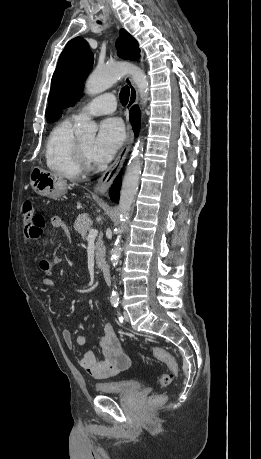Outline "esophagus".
<instances>
[{"label": "esophagus", "mask_w": 261, "mask_h": 459, "mask_svg": "<svg viewBox=\"0 0 261 459\" xmlns=\"http://www.w3.org/2000/svg\"><path fill=\"white\" fill-rule=\"evenodd\" d=\"M125 84L129 87L130 90L129 101L127 105V112H129L130 109L138 102V91L130 76L125 77ZM126 130V139L118 156L116 157L114 162L105 170V172L99 178L97 184L94 187V192L98 195H105L107 193L114 179L120 172L124 164V161L130 151L134 139V134L129 121H127Z\"/></svg>", "instance_id": "34e87169"}]
</instances>
